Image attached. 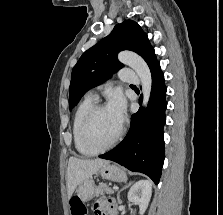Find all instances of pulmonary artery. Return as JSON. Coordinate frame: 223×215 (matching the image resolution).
Masks as SVG:
<instances>
[{
	"label": "pulmonary artery",
	"mask_w": 223,
	"mask_h": 215,
	"mask_svg": "<svg viewBox=\"0 0 223 215\" xmlns=\"http://www.w3.org/2000/svg\"><path fill=\"white\" fill-rule=\"evenodd\" d=\"M121 79L124 83L133 82V86H138V73H133V69H120ZM89 98L97 99V95L90 92L88 94Z\"/></svg>",
	"instance_id": "obj_1"
}]
</instances>
